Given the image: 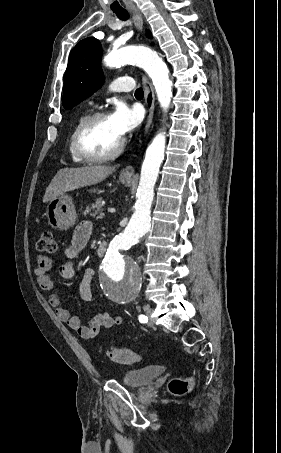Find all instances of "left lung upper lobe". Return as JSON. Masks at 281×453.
Masks as SVG:
<instances>
[{
	"instance_id": "5c2ea615",
	"label": "left lung upper lobe",
	"mask_w": 281,
	"mask_h": 453,
	"mask_svg": "<svg viewBox=\"0 0 281 453\" xmlns=\"http://www.w3.org/2000/svg\"><path fill=\"white\" fill-rule=\"evenodd\" d=\"M102 47L95 38L80 41L70 52L65 73L63 107L71 109L103 84L100 69Z\"/></svg>"
}]
</instances>
